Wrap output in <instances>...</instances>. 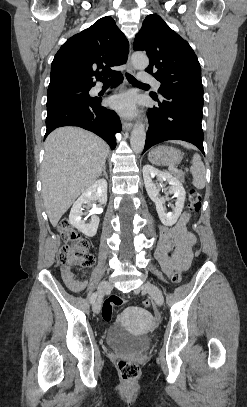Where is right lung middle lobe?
I'll use <instances>...</instances> for the list:
<instances>
[{
	"label": "right lung middle lobe",
	"mask_w": 247,
	"mask_h": 407,
	"mask_svg": "<svg viewBox=\"0 0 247 407\" xmlns=\"http://www.w3.org/2000/svg\"><path fill=\"white\" fill-rule=\"evenodd\" d=\"M91 87L86 86H67L50 89L47 92V107L57 105L68 101H92L94 98L89 96Z\"/></svg>",
	"instance_id": "right-lung-middle-lobe-1"
}]
</instances>
